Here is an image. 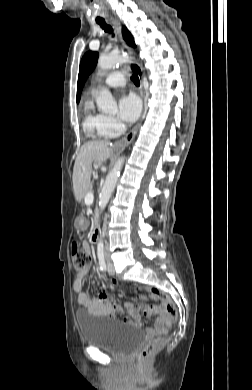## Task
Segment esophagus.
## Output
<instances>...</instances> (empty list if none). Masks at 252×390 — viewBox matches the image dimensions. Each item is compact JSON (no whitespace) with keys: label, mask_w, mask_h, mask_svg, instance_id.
<instances>
[{"label":"esophagus","mask_w":252,"mask_h":390,"mask_svg":"<svg viewBox=\"0 0 252 390\" xmlns=\"http://www.w3.org/2000/svg\"><path fill=\"white\" fill-rule=\"evenodd\" d=\"M111 22H112V24L114 25V27L116 28L117 32L119 33L120 38H121V40H122V43H123L124 47L126 48V50L128 51L129 54H132L131 48L128 47L127 44L125 43V41L122 39L120 24H119L118 21L115 20V19H111ZM129 67H130V68L137 74V76L139 77V80H140V82H141V87H142V94L144 95V83H143V81H144V73H143L142 68L140 67V65H139L138 63H136V62H134V61H129ZM143 118H144V114L142 115V118H141L140 121L137 123V125H136V126H135V127H134V128H133L125 137H124V138H122L121 140H119V141L116 143V146H117V147L124 148V147H126L127 145H129V144L133 141V139H134V137H135V135H136V133H137V131H138V129H139V127H140L142 121H143Z\"/></svg>","instance_id":"1"}]
</instances>
